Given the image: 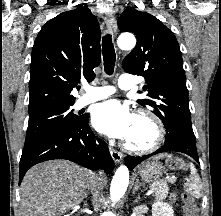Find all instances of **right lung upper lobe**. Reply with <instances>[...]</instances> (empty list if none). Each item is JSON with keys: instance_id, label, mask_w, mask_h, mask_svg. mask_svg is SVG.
I'll list each match as a JSON object with an SVG mask.
<instances>
[{"instance_id": "cb5924a9", "label": "right lung upper lobe", "mask_w": 221, "mask_h": 216, "mask_svg": "<svg viewBox=\"0 0 221 216\" xmlns=\"http://www.w3.org/2000/svg\"><path fill=\"white\" fill-rule=\"evenodd\" d=\"M101 32L87 7L63 12L40 30L31 57L29 115L73 105L71 91L81 78H95Z\"/></svg>"}]
</instances>
